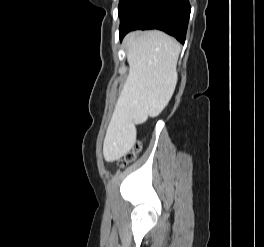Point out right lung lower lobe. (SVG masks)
I'll return each instance as SVG.
<instances>
[{"label":"right lung lower lobe","instance_id":"98d812e1","mask_svg":"<svg viewBox=\"0 0 264 247\" xmlns=\"http://www.w3.org/2000/svg\"><path fill=\"white\" fill-rule=\"evenodd\" d=\"M189 0H130L120 17V38L135 29H159L184 43Z\"/></svg>","mask_w":264,"mask_h":247}]
</instances>
